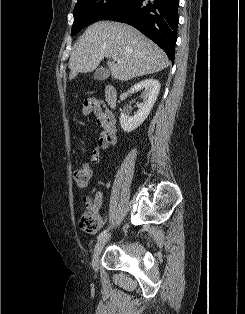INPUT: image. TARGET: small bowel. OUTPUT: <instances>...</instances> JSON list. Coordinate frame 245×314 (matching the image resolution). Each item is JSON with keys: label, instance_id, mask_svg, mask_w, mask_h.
<instances>
[{"label": "small bowel", "instance_id": "c3829d8e", "mask_svg": "<svg viewBox=\"0 0 245 314\" xmlns=\"http://www.w3.org/2000/svg\"><path fill=\"white\" fill-rule=\"evenodd\" d=\"M82 113L85 116L93 114L97 125L101 129L98 136V141L95 148L91 151V163L97 165L103 159L104 153L114 148L117 143V129L114 118L110 112L105 110L102 101L90 98L87 99L82 108ZM112 154L109 155L111 157ZM101 196L95 197V206L98 208L101 204Z\"/></svg>", "mask_w": 245, "mask_h": 314}]
</instances>
